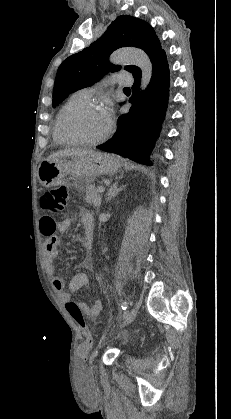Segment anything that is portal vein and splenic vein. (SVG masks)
<instances>
[{"mask_svg":"<svg viewBox=\"0 0 231 419\" xmlns=\"http://www.w3.org/2000/svg\"><path fill=\"white\" fill-rule=\"evenodd\" d=\"M98 191L101 192V193L104 192L105 191V187L104 186H99L98 187Z\"/></svg>","mask_w":231,"mask_h":419,"instance_id":"18ae733b","label":"portal vein and splenic vein"}]
</instances>
